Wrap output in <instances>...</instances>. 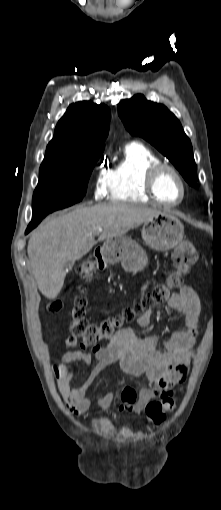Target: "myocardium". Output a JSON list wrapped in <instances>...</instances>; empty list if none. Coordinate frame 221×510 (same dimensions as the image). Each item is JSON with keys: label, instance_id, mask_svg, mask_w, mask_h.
<instances>
[{"label": "myocardium", "instance_id": "myocardium-1", "mask_svg": "<svg viewBox=\"0 0 221 510\" xmlns=\"http://www.w3.org/2000/svg\"><path fill=\"white\" fill-rule=\"evenodd\" d=\"M163 171H170L171 173H173L181 185L182 195H181V198L177 202H174V203L164 202L158 197V195L156 193V189H155L156 181H157L159 175ZM144 190H145L147 196L155 204L162 206V207H166V208L179 206L180 204H182L184 202V200L187 196V184H186L182 174L173 165L165 163V162H158V163L152 164L151 166H149L147 168V170L145 172V176H144Z\"/></svg>", "mask_w": 221, "mask_h": 510}]
</instances>
